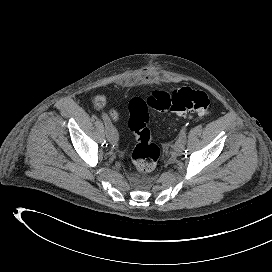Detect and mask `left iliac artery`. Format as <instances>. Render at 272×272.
Returning a JSON list of instances; mask_svg holds the SVG:
<instances>
[{
	"label": "left iliac artery",
	"instance_id": "44dca946",
	"mask_svg": "<svg viewBox=\"0 0 272 272\" xmlns=\"http://www.w3.org/2000/svg\"><path fill=\"white\" fill-rule=\"evenodd\" d=\"M187 124H186V126H187ZM177 143H179L182 146L185 145V143H186V127L185 126L180 130Z\"/></svg>",
	"mask_w": 272,
	"mask_h": 272
}]
</instances>
